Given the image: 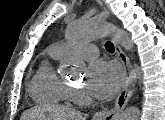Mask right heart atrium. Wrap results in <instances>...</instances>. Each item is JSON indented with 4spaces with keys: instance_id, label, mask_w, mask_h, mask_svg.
I'll use <instances>...</instances> for the list:
<instances>
[{
    "instance_id": "obj_1",
    "label": "right heart atrium",
    "mask_w": 165,
    "mask_h": 120,
    "mask_svg": "<svg viewBox=\"0 0 165 120\" xmlns=\"http://www.w3.org/2000/svg\"><path fill=\"white\" fill-rule=\"evenodd\" d=\"M73 97L76 100H82L84 98V92L79 88H75L73 89Z\"/></svg>"
}]
</instances>
